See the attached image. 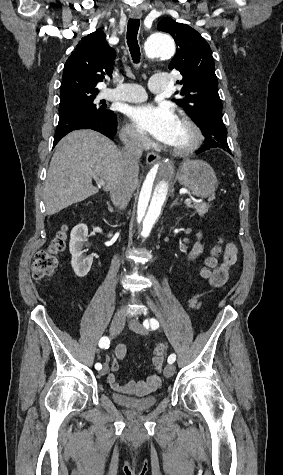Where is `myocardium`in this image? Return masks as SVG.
Listing matches in <instances>:
<instances>
[{"mask_svg": "<svg viewBox=\"0 0 283 475\" xmlns=\"http://www.w3.org/2000/svg\"><path fill=\"white\" fill-rule=\"evenodd\" d=\"M179 118L182 120L184 125L190 132V138L188 142L179 148H173L169 145L167 146L170 153L174 156L184 158L193 154L200 146L203 140V132L198 123L192 119L188 114L183 111H180Z\"/></svg>", "mask_w": 283, "mask_h": 475, "instance_id": "f54148a6", "label": "myocardium"}]
</instances>
